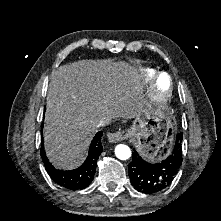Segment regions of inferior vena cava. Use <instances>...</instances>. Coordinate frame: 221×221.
<instances>
[{
  "instance_id": "602c4592",
  "label": "inferior vena cava",
  "mask_w": 221,
  "mask_h": 221,
  "mask_svg": "<svg viewBox=\"0 0 221 221\" xmlns=\"http://www.w3.org/2000/svg\"><path fill=\"white\" fill-rule=\"evenodd\" d=\"M110 121H111L110 118L103 117L97 122L96 127H103V126L109 124Z\"/></svg>"
}]
</instances>
